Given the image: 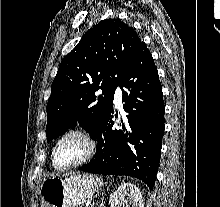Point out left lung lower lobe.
I'll use <instances>...</instances> for the list:
<instances>
[{
    "label": "left lung lower lobe",
    "mask_w": 220,
    "mask_h": 207,
    "mask_svg": "<svg viewBox=\"0 0 220 207\" xmlns=\"http://www.w3.org/2000/svg\"><path fill=\"white\" fill-rule=\"evenodd\" d=\"M118 85L127 115L114 128L112 107L93 136L98 142L97 153L82 170L136 177L153 189L165 127V106L158 71L144 42L139 44Z\"/></svg>",
    "instance_id": "obj_1"
}]
</instances>
